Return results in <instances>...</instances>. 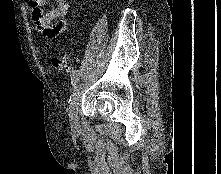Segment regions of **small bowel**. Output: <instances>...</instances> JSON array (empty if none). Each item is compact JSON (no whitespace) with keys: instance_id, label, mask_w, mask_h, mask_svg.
Here are the masks:
<instances>
[{"instance_id":"c3829d8e","label":"small bowel","mask_w":221,"mask_h":174,"mask_svg":"<svg viewBox=\"0 0 221 174\" xmlns=\"http://www.w3.org/2000/svg\"><path fill=\"white\" fill-rule=\"evenodd\" d=\"M31 6V17L36 28L45 38L53 39L67 29V15L70 10L68 0H54L56 5L48 12L42 7L48 0H27Z\"/></svg>"}]
</instances>
